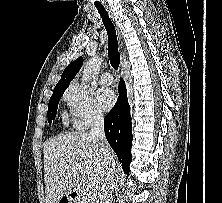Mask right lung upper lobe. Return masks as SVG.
Segmentation results:
<instances>
[{
    "mask_svg": "<svg viewBox=\"0 0 222 203\" xmlns=\"http://www.w3.org/2000/svg\"><path fill=\"white\" fill-rule=\"evenodd\" d=\"M82 64H83V58L79 57L77 60L68 65L63 71L61 79L55 86L53 92L63 91V90L65 91L66 88L69 86L71 80L76 76V74L81 69Z\"/></svg>",
    "mask_w": 222,
    "mask_h": 203,
    "instance_id": "right-lung-upper-lobe-1",
    "label": "right lung upper lobe"
}]
</instances>
